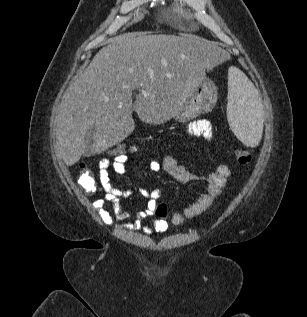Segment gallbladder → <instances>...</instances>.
I'll use <instances>...</instances> for the list:
<instances>
[{
	"label": "gallbladder",
	"mask_w": 307,
	"mask_h": 317,
	"mask_svg": "<svg viewBox=\"0 0 307 317\" xmlns=\"http://www.w3.org/2000/svg\"><path fill=\"white\" fill-rule=\"evenodd\" d=\"M87 144H86V148L85 151L83 153V156L85 157H89L93 154V150H94V144L96 141V130L91 129L88 133H87Z\"/></svg>",
	"instance_id": "bac80fb5"
}]
</instances>
